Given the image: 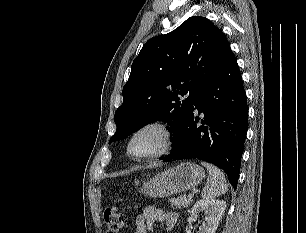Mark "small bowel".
Segmentation results:
<instances>
[{
	"label": "small bowel",
	"mask_w": 306,
	"mask_h": 233,
	"mask_svg": "<svg viewBox=\"0 0 306 233\" xmlns=\"http://www.w3.org/2000/svg\"><path fill=\"white\" fill-rule=\"evenodd\" d=\"M178 214L165 212L153 206L146 207L142 214L134 219L135 233H148L156 222H163L169 230H172L178 222Z\"/></svg>",
	"instance_id": "obj_1"
}]
</instances>
